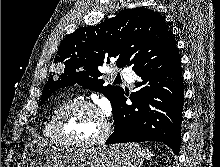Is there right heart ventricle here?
Wrapping results in <instances>:
<instances>
[{
  "mask_svg": "<svg viewBox=\"0 0 220 167\" xmlns=\"http://www.w3.org/2000/svg\"><path fill=\"white\" fill-rule=\"evenodd\" d=\"M70 100L69 99H66L60 103H58L57 105H55L53 107V109L51 110V112L49 113L45 123H44V126H43V135L44 137L53 142V143H61L55 133H54V130H53V122H54V118H55V115L56 113L58 112V110L64 105L66 104L67 102H69Z\"/></svg>",
  "mask_w": 220,
  "mask_h": 167,
  "instance_id": "e07e8e85",
  "label": "right heart ventricle"
}]
</instances>
